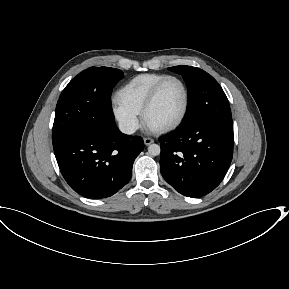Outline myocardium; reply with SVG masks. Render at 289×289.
I'll use <instances>...</instances> for the list:
<instances>
[{
	"label": "myocardium",
	"instance_id": "1",
	"mask_svg": "<svg viewBox=\"0 0 289 289\" xmlns=\"http://www.w3.org/2000/svg\"><path fill=\"white\" fill-rule=\"evenodd\" d=\"M171 80L177 81L182 86V89L184 91V105H183V109H182V112L179 115V117L174 122L155 130L158 132H168V131L174 130L177 127H179L183 123V121L185 120L187 113H188V110H189L190 92H189V88H188L187 84L185 83V81L183 79H181L178 76L168 75V76L164 77L163 79H161L159 82H157L153 86L151 91L149 92V94H148V96H147V98H146V100L142 106V109H141L142 120L144 121V123H146L147 114H148L150 108L152 107V105L154 104L161 88L168 81H171Z\"/></svg>",
	"mask_w": 289,
	"mask_h": 289
}]
</instances>
